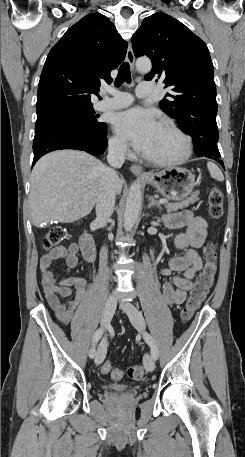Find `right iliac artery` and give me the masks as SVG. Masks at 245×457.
Returning <instances> with one entry per match:
<instances>
[{
	"label": "right iliac artery",
	"mask_w": 245,
	"mask_h": 457,
	"mask_svg": "<svg viewBox=\"0 0 245 457\" xmlns=\"http://www.w3.org/2000/svg\"><path fill=\"white\" fill-rule=\"evenodd\" d=\"M103 333H104V328L103 327L98 328L96 330V332L94 333L93 340H92V347H91V349L89 351V357L90 358H94L95 357V355H96L95 345L101 339Z\"/></svg>",
	"instance_id": "82829eb1"
}]
</instances>
